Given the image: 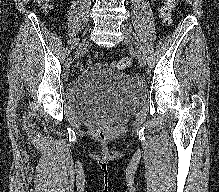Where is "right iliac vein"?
Instances as JSON below:
<instances>
[{"instance_id":"obj_1","label":"right iliac vein","mask_w":219,"mask_h":192,"mask_svg":"<svg viewBox=\"0 0 219 192\" xmlns=\"http://www.w3.org/2000/svg\"><path fill=\"white\" fill-rule=\"evenodd\" d=\"M86 43H87V41H86V39H84V40L82 41V43L80 44V46H79V51H82V50L85 48Z\"/></svg>"}]
</instances>
